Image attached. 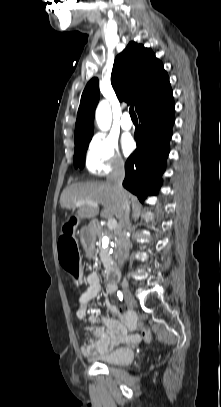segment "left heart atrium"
Returning a JSON list of instances; mask_svg holds the SVG:
<instances>
[{"label":"left heart atrium","instance_id":"39dd6f15","mask_svg":"<svg viewBox=\"0 0 221 407\" xmlns=\"http://www.w3.org/2000/svg\"><path fill=\"white\" fill-rule=\"evenodd\" d=\"M122 147L126 154H129L133 151L135 143L130 136H125L122 140Z\"/></svg>","mask_w":221,"mask_h":407}]
</instances>
